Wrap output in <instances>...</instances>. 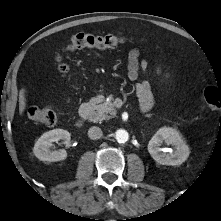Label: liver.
Instances as JSON below:
<instances>
[{"instance_id": "6515ba94", "label": "liver", "mask_w": 221, "mask_h": 221, "mask_svg": "<svg viewBox=\"0 0 221 221\" xmlns=\"http://www.w3.org/2000/svg\"><path fill=\"white\" fill-rule=\"evenodd\" d=\"M25 88H22L20 90V94H19V113L20 115L24 112L25 108H26V98H25Z\"/></svg>"}]
</instances>
